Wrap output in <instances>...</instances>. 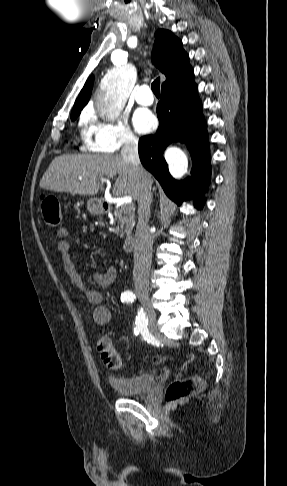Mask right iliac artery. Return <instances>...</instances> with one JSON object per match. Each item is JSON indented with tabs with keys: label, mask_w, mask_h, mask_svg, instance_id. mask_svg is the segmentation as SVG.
Returning a JSON list of instances; mask_svg holds the SVG:
<instances>
[{
	"label": "right iliac artery",
	"mask_w": 287,
	"mask_h": 486,
	"mask_svg": "<svg viewBox=\"0 0 287 486\" xmlns=\"http://www.w3.org/2000/svg\"><path fill=\"white\" fill-rule=\"evenodd\" d=\"M135 299H136L135 294L129 290L123 292V294L121 295L122 302L133 303ZM135 324L136 326L134 328V334L138 335L139 333H141V335L145 340L150 341L151 336L149 334L148 327H147L148 319H146L145 313L142 308L138 310V315L136 316Z\"/></svg>",
	"instance_id": "82829eb1"
}]
</instances>
